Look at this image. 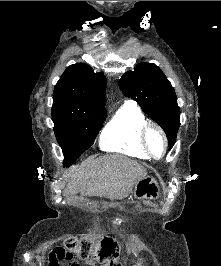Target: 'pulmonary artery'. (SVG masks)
I'll list each match as a JSON object with an SVG mask.
<instances>
[{
  "label": "pulmonary artery",
  "instance_id": "pulmonary-artery-1",
  "mask_svg": "<svg viewBox=\"0 0 221 266\" xmlns=\"http://www.w3.org/2000/svg\"><path fill=\"white\" fill-rule=\"evenodd\" d=\"M127 104L135 105V102L134 101H128Z\"/></svg>",
  "mask_w": 221,
  "mask_h": 266
}]
</instances>
